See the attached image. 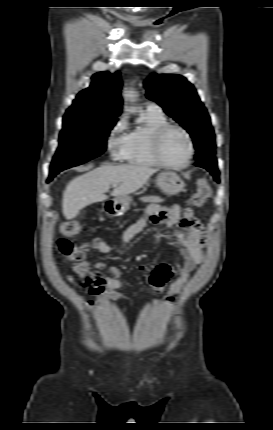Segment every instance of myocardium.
Segmentation results:
<instances>
[{"label":"myocardium","instance_id":"myocardium-1","mask_svg":"<svg viewBox=\"0 0 273 430\" xmlns=\"http://www.w3.org/2000/svg\"><path fill=\"white\" fill-rule=\"evenodd\" d=\"M169 130H178L180 131L186 138L187 143H188V155L186 157V160L181 163V164H171V163H167L161 155V143H162V139L164 137V135L166 134V132H168ZM151 151H152V156L155 160V162L164 168L167 169H173V170H181L184 169L186 167H188L193 159L194 156V144L191 138L190 133L182 126L178 125V124H172V123H165L163 125H161L160 127H158L152 134V138H151Z\"/></svg>","mask_w":273,"mask_h":430}]
</instances>
